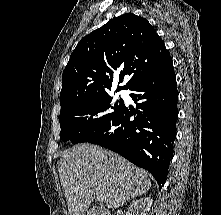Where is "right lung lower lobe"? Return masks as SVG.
Listing matches in <instances>:
<instances>
[{"mask_svg": "<svg viewBox=\"0 0 221 215\" xmlns=\"http://www.w3.org/2000/svg\"><path fill=\"white\" fill-rule=\"evenodd\" d=\"M129 90L135 110L124 108L111 128L89 140L148 170L159 187L166 181L178 115L176 76L171 57ZM133 116L134 120H130Z\"/></svg>", "mask_w": 221, "mask_h": 215, "instance_id": "obj_1", "label": "right lung lower lobe"}]
</instances>
